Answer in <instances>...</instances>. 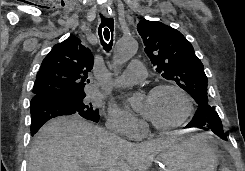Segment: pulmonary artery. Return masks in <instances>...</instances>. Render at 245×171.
Here are the masks:
<instances>
[{
    "mask_svg": "<svg viewBox=\"0 0 245 171\" xmlns=\"http://www.w3.org/2000/svg\"><path fill=\"white\" fill-rule=\"evenodd\" d=\"M146 76L144 65L139 60L130 62L127 70L119 77L115 78L112 85L115 88L126 87L134 84Z\"/></svg>",
    "mask_w": 245,
    "mask_h": 171,
    "instance_id": "1",
    "label": "pulmonary artery"
}]
</instances>
